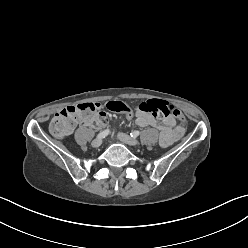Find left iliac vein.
<instances>
[{"label":"left iliac vein","instance_id":"left-iliac-vein-1","mask_svg":"<svg viewBox=\"0 0 248 248\" xmlns=\"http://www.w3.org/2000/svg\"><path fill=\"white\" fill-rule=\"evenodd\" d=\"M117 138L121 141V142H124L128 145H131V146H135L138 144V141L132 137H130L129 135L125 134V133H118L117 134Z\"/></svg>","mask_w":248,"mask_h":248}]
</instances>
